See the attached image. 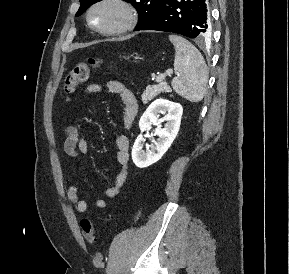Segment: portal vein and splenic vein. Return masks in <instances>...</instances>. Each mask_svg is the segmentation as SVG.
Masks as SVG:
<instances>
[{
    "mask_svg": "<svg viewBox=\"0 0 289 274\" xmlns=\"http://www.w3.org/2000/svg\"><path fill=\"white\" fill-rule=\"evenodd\" d=\"M166 76H167L166 74L158 75L156 78V82L158 83L162 82L163 80H165Z\"/></svg>",
    "mask_w": 289,
    "mask_h": 274,
    "instance_id": "18ae733b",
    "label": "portal vein and splenic vein"
}]
</instances>
